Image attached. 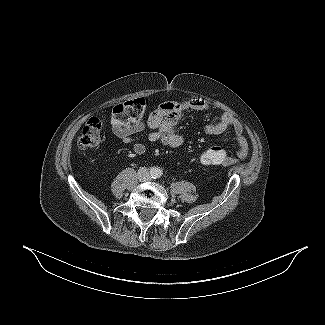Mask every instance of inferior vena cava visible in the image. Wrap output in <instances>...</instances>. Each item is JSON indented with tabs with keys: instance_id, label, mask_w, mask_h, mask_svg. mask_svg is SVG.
<instances>
[{
	"instance_id": "602c4592",
	"label": "inferior vena cava",
	"mask_w": 325,
	"mask_h": 325,
	"mask_svg": "<svg viewBox=\"0 0 325 325\" xmlns=\"http://www.w3.org/2000/svg\"><path fill=\"white\" fill-rule=\"evenodd\" d=\"M140 178L142 180H147L149 178V175L146 173V175L140 174Z\"/></svg>"
}]
</instances>
